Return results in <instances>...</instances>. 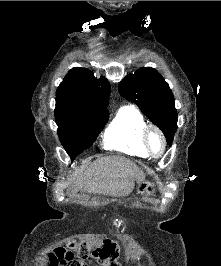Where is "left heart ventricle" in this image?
Returning <instances> with one entry per match:
<instances>
[{
	"instance_id": "obj_1",
	"label": "left heart ventricle",
	"mask_w": 221,
	"mask_h": 266,
	"mask_svg": "<svg viewBox=\"0 0 221 266\" xmlns=\"http://www.w3.org/2000/svg\"><path fill=\"white\" fill-rule=\"evenodd\" d=\"M151 144L156 152L160 150V141L157 137L152 138Z\"/></svg>"
}]
</instances>
